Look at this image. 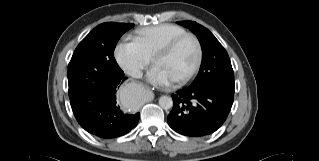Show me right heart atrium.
<instances>
[{
    "instance_id": "right-heart-atrium-1",
    "label": "right heart atrium",
    "mask_w": 319,
    "mask_h": 161,
    "mask_svg": "<svg viewBox=\"0 0 319 161\" xmlns=\"http://www.w3.org/2000/svg\"><path fill=\"white\" fill-rule=\"evenodd\" d=\"M114 55L117 63L133 76H140L150 64V59L144 55L134 41L119 42L115 46Z\"/></svg>"
}]
</instances>
